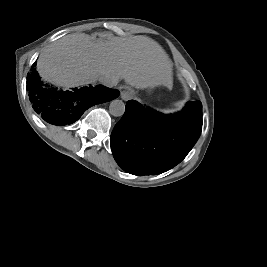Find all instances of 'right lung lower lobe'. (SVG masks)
Instances as JSON below:
<instances>
[{"label":"right lung lower lobe","mask_w":267,"mask_h":267,"mask_svg":"<svg viewBox=\"0 0 267 267\" xmlns=\"http://www.w3.org/2000/svg\"><path fill=\"white\" fill-rule=\"evenodd\" d=\"M27 91L35 112L57 126L74 123L91 106L111 101L120 94L118 90L102 85L60 91L43 84L37 73L27 75Z\"/></svg>","instance_id":"obj_1"}]
</instances>
